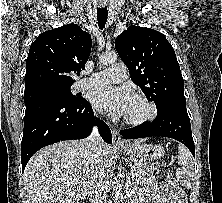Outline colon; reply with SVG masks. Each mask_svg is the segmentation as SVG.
I'll list each match as a JSON object with an SVG mask.
<instances>
[{
    "mask_svg": "<svg viewBox=\"0 0 222 203\" xmlns=\"http://www.w3.org/2000/svg\"><path fill=\"white\" fill-rule=\"evenodd\" d=\"M166 180H167L168 184L171 185L172 187L177 186V181H176V178H175L172 171H168L166 173Z\"/></svg>",
    "mask_w": 222,
    "mask_h": 203,
    "instance_id": "1",
    "label": "colon"
}]
</instances>
